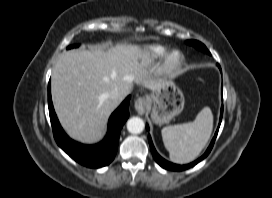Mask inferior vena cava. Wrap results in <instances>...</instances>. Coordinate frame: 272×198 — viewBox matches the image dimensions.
Segmentation results:
<instances>
[{"label":"inferior vena cava","mask_w":272,"mask_h":198,"mask_svg":"<svg viewBox=\"0 0 272 198\" xmlns=\"http://www.w3.org/2000/svg\"><path fill=\"white\" fill-rule=\"evenodd\" d=\"M125 93H126V91H120L119 89L115 88L113 91H111L110 97L113 100H118Z\"/></svg>","instance_id":"inferior-vena-cava-1"}]
</instances>
